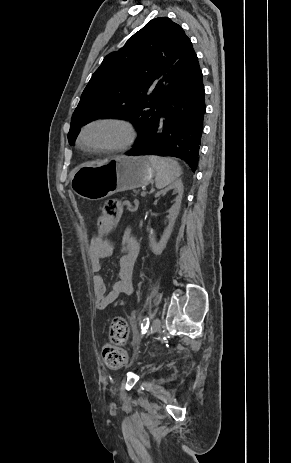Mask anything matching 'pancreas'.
Returning <instances> with one entry per match:
<instances>
[{
    "label": "pancreas",
    "mask_w": 291,
    "mask_h": 463,
    "mask_svg": "<svg viewBox=\"0 0 291 463\" xmlns=\"http://www.w3.org/2000/svg\"><path fill=\"white\" fill-rule=\"evenodd\" d=\"M138 195V191H134L133 196L136 197Z\"/></svg>",
    "instance_id": "1"
}]
</instances>
